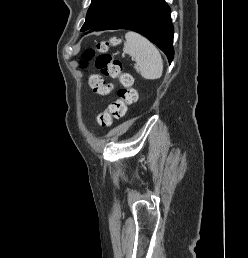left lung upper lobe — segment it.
<instances>
[{
    "mask_svg": "<svg viewBox=\"0 0 248 258\" xmlns=\"http://www.w3.org/2000/svg\"><path fill=\"white\" fill-rule=\"evenodd\" d=\"M128 0H92L81 31H88L114 15Z\"/></svg>",
    "mask_w": 248,
    "mask_h": 258,
    "instance_id": "1",
    "label": "left lung upper lobe"
}]
</instances>
